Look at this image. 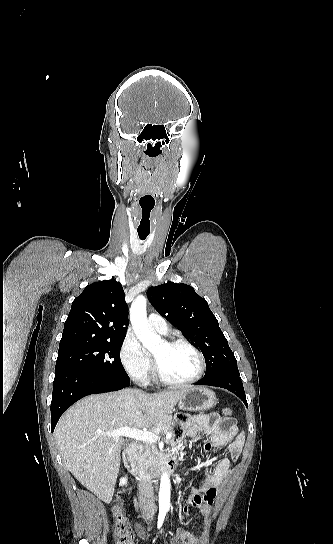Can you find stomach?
<instances>
[{"instance_id":"obj_1","label":"stomach","mask_w":333,"mask_h":544,"mask_svg":"<svg viewBox=\"0 0 333 544\" xmlns=\"http://www.w3.org/2000/svg\"><path fill=\"white\" fill-rule=\"evenodd\" d=\"M216 403L215 393L201 386L186 390L178 400L179 408L186 411H206Z\"/></svg>"}]
</instances>
